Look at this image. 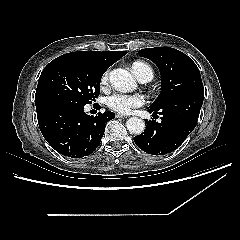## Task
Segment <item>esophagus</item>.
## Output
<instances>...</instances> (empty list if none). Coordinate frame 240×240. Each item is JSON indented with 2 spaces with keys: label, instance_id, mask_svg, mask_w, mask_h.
Segmentation results:
<instances>
[{
  "label": "esophagus",
  "instance_id": "34e87169",
  "mask_svg": "<svg viewBox=\"0 0 240 240\" xmlns=\"http://www.w3.org/2000/svg\"><path fill=\"white\" fill-rule=\"evenodd\" d=\"M115 116H116L117 118H122V119L128 118L127 115H121V114H116Z\"/></svg>",
  "mask_w": 240,
  "mask_h": 240
}]
</instances>
